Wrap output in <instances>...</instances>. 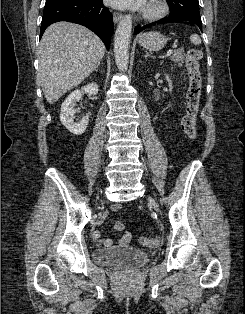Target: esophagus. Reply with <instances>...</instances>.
Here are the masks:
<instances>
[{
    "label": "esophagus",
    "instance_id": "1",
    "mask_svg": "<svg viewBox=\"0 0 245 314\" xmlns=\"http://www.w3.org/2000/svg\"><path fill=\"white\" fill-rule=\"evenodd\" d=\"M123 15L119 12H113V20L118 23L122 19Z\"/></svg>",
    "mask_w": 245,
    "mask_h": 314
}]
</instances>
